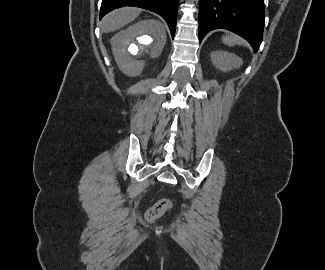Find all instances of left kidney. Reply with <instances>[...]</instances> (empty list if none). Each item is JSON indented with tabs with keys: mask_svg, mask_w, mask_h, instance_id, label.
I'll list each match as a JSON object with an SVG mask.
<instances>
[{
	"mask_svg": "<svg viewBox=\"0 0 325 270\" xmlns=\"http://www.w3.org/2000/svg\"><path fill=\"white\" fill-rule=\"evenodd\" d=\"M210 56L213 65L224 72L238 68L243 63L241 58L226 51H213Z\"/></svg>",
	"mask_w": 325,
	"mask_h": 270,
	"instance_id": "1",
	"label": "left kidney"
}]
</instances>
